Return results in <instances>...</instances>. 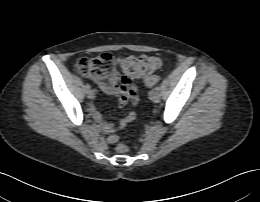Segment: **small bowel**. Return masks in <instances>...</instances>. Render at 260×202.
Here are the masks:
<instances>
[{"mask_svg": "<svg viewBox=\"0 0 260 202\" xmlns=\"http://www.w3.org/2000/svg\"><path fill=\"white\" fill-rule=\"evenodd\" d=\"M100 86L105 93L116 96L121 107H125L128 102H131L132 105H136L138 102L137 90L132 83L126 85L116 78L112 81L101 83ZM89 111L92 118L98 123L100 129L108 135V142L111 144L118 141V137L115 134L116 130L125 128L129 123L134 121L136 117V114L131 111L115 126L114 124L106 122L93 105L90 106Z\"/></svg>", "mask_w": 260, "mask_h": 202, "instance_id": "obj_1", "label": "small bowel"}]
</instances>
